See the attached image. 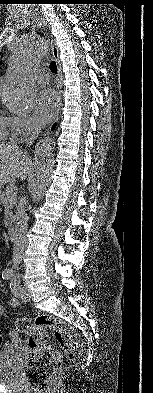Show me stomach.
Instances as JSON below:
<instances>
[{
	"mask_svg": "<svg viewBox=\"0 0 153 393\" xmlns=\"http://www.w3.org/2000/svg\"><path fill=\"white\" fill-rule=\"evenodd\" d=\"M2 194V189H0V195Z\"/></svg>",
	"mask_w": 153,
	"mask_h": 393,
	"instance_id": "0dacf381",
	"label": "stomach"
}]
</instances>
